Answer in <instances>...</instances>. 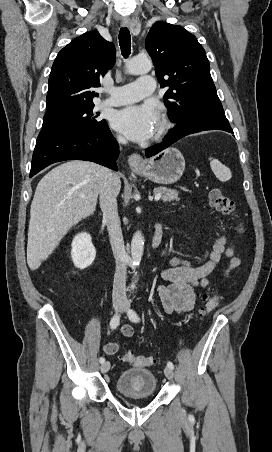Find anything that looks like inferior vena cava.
<instances>
[{"mask_svg":"<svg viewBox=\"0 0 272 452\" xmlns=\"http://www.w3.org/2000/svg\"><path fill=\"white\" fill-rule=\"evenodd\" d=\"M118 142L126 144L127 140L121 136ZM119 177L112 172L106 176V180L100 191V207L103 212V220L107 224L110 244L115 258L116 271L113 283V300L126 299V268L128 255L125 250L120 218L117 211V196L119 189L117 184Z\"/></svg>","mask_w":272,"mask_h":452,"instance_id":"1","label":"inferior vena cava"}]
</instances>
